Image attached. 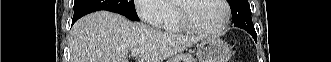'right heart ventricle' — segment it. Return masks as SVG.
Masks as SVG:
<instances>
[{
  "instance_id": "right-heart-ventricle-1",
  "label": "right heart ventricle",
  "mask_w": 331,
  "mask_h": 62,
  "mask_svg": "<svg viewBox=\"0 0 331 62\" xmlns=\"http://www.w3.org/2000/svg\"><path fill=\"white\" fill-rule=\"evenodd\" d=\"M168 8L172 11V17H171L170 21L165 25V27L161 28V29H164V30L169 31V32H180V31H182L183 27H182V25L180 24V22L178 20L175 9L172 8L171 6H168Z\"/></svg>"
}]
</instances>
